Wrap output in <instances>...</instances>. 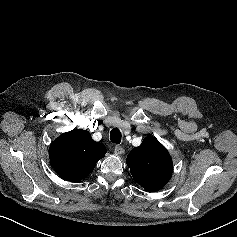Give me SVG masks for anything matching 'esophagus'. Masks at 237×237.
<instances>
[{
    "label": "esophagus",
    "instance_id": "1",
    "mask_svg": "<svg viewBox=\"0 0 237 237\" xmlns=\"http://www.w3.org/2000/svg\"><path fill=\"white\" fill-rule=\"evenodd\" d=\"M125 152L124 148L120 145H116L114 148V153L116 155H122Z\"/></svg>",
    "mask_w": 237,
    "mask_h": 237
}]
</instances>
